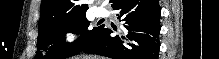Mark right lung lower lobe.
<instances>
[{
    "instance_id": "obj_1",
    "label": "right lung lower lobe",
    "mask_w": 219,
    "mask_h": 59,
    "mask_svg": "<svg viewBox=\"0 0 219 59\" xmlns=\"http://www.w3.org/2000/svg\"><path fill=\"white\" fill-rule=\"evenodd\" d=\"M123 29L103 28L82 51L112 59H158L161 10L158 0H113ZM116 30V29H115ZM117 31V30H116Z\"/></svg>"
}]
</instances>
